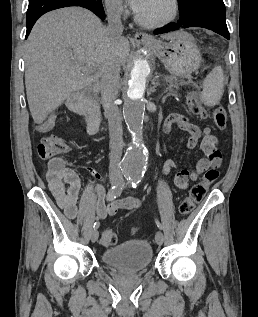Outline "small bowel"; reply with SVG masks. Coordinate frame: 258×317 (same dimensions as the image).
<instances>
[{"label":"small bowel","instance_id":"c3829d8e","mask_svg":"<svg viewBox=\"0 0 258 317\" xmlns=\"http://www.w3.org/2000/svg\"><path fill=\"white\" fill-rule=\"evenodd\" d=\"M84 116L87 131L93 135L97 132L100 123V113L97 105L92 101H85V107L81 109ZM56 123L55 116H49L38 125L39 132L50 131ZM177 125L180 129L188 132L186 141L188 148H194L201 141V149L205 157L200 159L192 170L180 166L172 159L165 161L163 173L168 175L172 170H177L174 178V185L178 189H185L189 181H196L207 168L219 167L222 162V154L219 149L217 138L212 134L209 127L200 129L183 114L173 113L168 116L163 125L164 133L171 131L172 125ZM96 177L99 175L93 172ZM47 182L49 189L57 204L63 209L65 215L74 219L79 212L80 180L78 174L68 166L67 162L60 157H55L49 161L47 171ZM105 190L102 185H97L90 200L89 207L99 219L117 214L121 210H133L139 207L140 202L135 197L113 201L106 204L104 201Z\"/></svg>","mask_w":258,"mask_h":317}]
</instances>
